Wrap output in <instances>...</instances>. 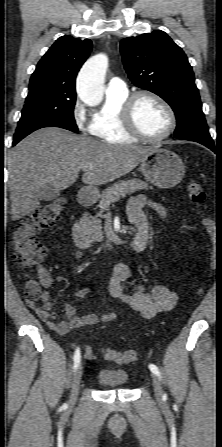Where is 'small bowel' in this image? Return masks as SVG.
<instances>
[{
	"instance_id": "obj_1",
	"label": "small bowel",
	"mask_w": 222,
	"mask_h": 447,
	"mask_svg": "<svg viewBox=\"0 0 222 447\" xmlns=\"http://www.w3.org/2000/svg\"><path fill=\"white\" fill-rule=\"evenodd\" d=\"M145 207L154 209L161 217L166 216V211L162 205L149 200L144 195H137L130 199L127 208V217L136 227V233L132 242V248L135 252H141L146 247L148 225L142 213V210ZM75 256L77 259H81L84 254L82 251H77ZM132 276L133 271L129 265L124 263L116 264L113 268V276L109 283L110 295L128 304L145 319L153 318L160 312H169L175 307L177 303V295L166 283H157L150 288H147L144 284H139L133 293H126L123 289V283L130 280ZM50 286L51 278L48 276L44 281V291L39 298V302L26 301V305L57 333L67 334L74 329L98 323H110L117 320V314L114 312L76 316L75 306L66 302L63 305L65 319L55 323L54 319L56 314L53 311L51 302ZM91 291L92 288L89 286L81 287L75 291L74 297L83 299L87 297ZM82 350L86 358H95L90 347L84 346Z\"/></svg>"
}]
</instances>
